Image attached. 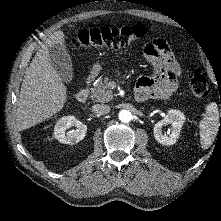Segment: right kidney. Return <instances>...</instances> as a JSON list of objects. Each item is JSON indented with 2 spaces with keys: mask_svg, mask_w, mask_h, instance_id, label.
Instances as JSON below:
<instances>
[{
  "mask_svg": "<svg viewBox=\"0 0 221 221\" xmlns=\"http://www.w3.org/2000/svg\"><path fill=\"white\" fill-rule=\"evenodd\" d=\"M75 126L66 132L70 127ZM87 132V126L74 116H65L60 118L54 127V137L64 144H75L81 141Z\"/></svg>",
  "mask_w": 221,
  "mask_h": 221,
  "instance_id": "1",
  "label": "right kidney"
}]
</instances>
